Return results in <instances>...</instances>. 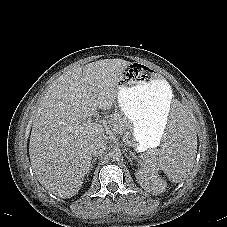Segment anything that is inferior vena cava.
I'll list each match as a JSON object with an SVG mask.
<instances>
[{
	"mask_svg": "<svg viewBox=\"0 0 227 227\" xmlns=\"http://www.w3.org/2000/svg\"><path fill=\"white\" fill-rule=\"evenodd\" d=\"M106 143L104 140H98L96 141L92 147H91V154L94 156V157H100L103 155V153L105 152L106 150Z\"/></svg>",
	"mask_w": 227,
	"mask_h": 227,
	"instance_id": "inferior-vena-cava-1",
	"label": "inferior vena cava"
}]
</instances>
